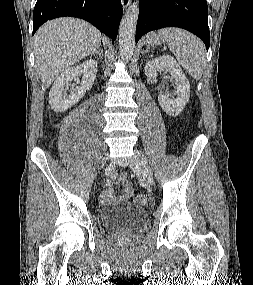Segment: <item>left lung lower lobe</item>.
Instances as JSON below:
<instances>
[{
    "mask_svg": "<svg viewBox=\"0 0 253 285\" xmlns=\"http://www.w3.org/2000/svg\"><path fill=\"white\" fill-rule=\"evenodd\" d=\"M139 9L136 43L149 31L179 27L201 38L208 50L210 32L206 0H139Z\"/></svg>",
    "mask_w": 253,
    "mask_h": 285,
    "instance_id": "0a47b994",
    "label": "left lung lower lobe"
}]
</instances>
